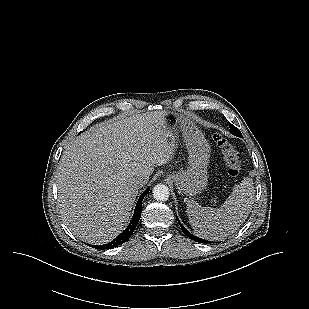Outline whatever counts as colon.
Segmentation results:
<instances>
[{
	"label": "colon",
	"instance_id": "obj_1",
	"mask_svg": "<svg viewBox=\"0 0 309 309\" xmlns=\"http://www.w3.org/2000/svg\"><path fill=\"white\" fill-rule=\"evenodd\" d=\"M214 140L223 155L228 174L237 177L241 171V159L234 145L219 134L214 136Z\"/></svg>",
	"mask_w": 309,
	"mask_h": 309
}]
</instances>
